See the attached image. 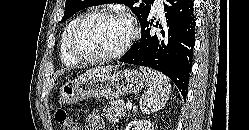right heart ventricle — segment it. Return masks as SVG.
<instances>
[{
    "label": "right heart ventricle",
    "mask_w": 249,
    "mask_h": 130,
    "mask_svg": "<svg viewBox=\"0 0 249 130\" xmlns=\"http://www.w3.org/2000/svg\"><path fill=\"white\" fill-rule=\"evenodd\" d=\"M79 17L80 16H76L68 22V24L65 26L60 37V45H59L60 58H61V61L65 65H69V66L76 65L78 63V60L75 59L70 54L69 49H68V44H69V39H70L71 32L73 30V27L75 26Z\"/></svg>",
    "instance_id": "obj_1"
}]
</instances>
